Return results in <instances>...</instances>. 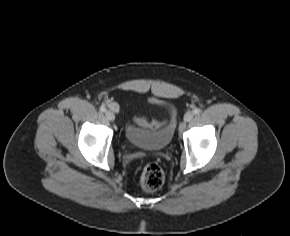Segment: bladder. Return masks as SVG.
<instances>
[{
  "label": "bladder",
  "instance_id": "bladder-1",
  "mask_svg": "<svg viewBox=\"0 0 290 236\" xmlns=\"http://www.w3.org/2000/svg\"><path fill=\"white\" fill-rule=\"evenodd\" d=\"M177 112L171 106V112L166 124L159 129H149L133 123H127L123 130V138L126 143L140 149L150 151L165 150L172 142Z\"/></svg>",
  "mask_w": 290,
  "mask_h": 236
}]
</instances>
